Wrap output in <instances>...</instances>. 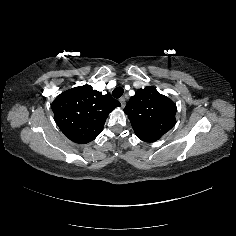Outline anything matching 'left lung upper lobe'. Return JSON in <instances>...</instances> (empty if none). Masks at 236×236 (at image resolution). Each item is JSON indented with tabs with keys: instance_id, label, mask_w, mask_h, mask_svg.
<instances>
[{
	"instance_id": "left-lung-upper-lobe-1",
	"label": "left lung upper lobe",
	"mask_w": 236,
	"mask_h": 236,
	"mask_svg": "<svg viewBox=\"0 0 236 236\" xmlns=\"http://www.w3.org/2000/svg\"><path fill=\"white\" fill-rule=\"evenodd\" d=\"M176 110L175 103L152 86L137 90L124 108L135 134L146 142L158 140L174 126Z\"/></svg>"
}]
</instances>
